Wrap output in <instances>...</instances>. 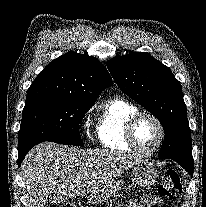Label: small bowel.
I'll list each match as a JSON object with an SVG mask.
<instances>
[{"mask_svg": "<svg viewBox=\"0 0 206 207\" xmlns=\"http://www.w3.org/2000/svg\"><path fill=\"white\" fill-rule=\"evenodd\" d=\"M163 202L156 197H143L140 200H133L128 207H162Z\"/></svg>", "mask_w": 206, "mask_h": 207, "instance_id": "obj_1", "label": "small bowel"}]
</instances>
